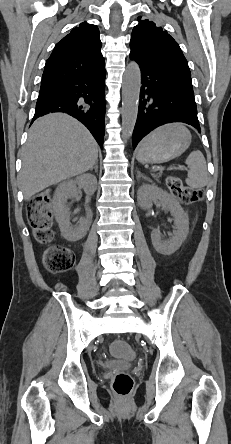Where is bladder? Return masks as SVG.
<instances>
[{"label":"bladder","instance_id":"31cf9c89","mask_svg":"<svg viewBox=\"0 0 231 444\" xmlns=\"http://www.w3.org/2000/svg\"><path fill=\"white\" fill-rule=\"evenodd\" d=\"M107 367L110 368H126L129 366V364H123V363H108L106 364Z\"/></svg>","mask_w":231,"mask_h":444}]
</instances>
